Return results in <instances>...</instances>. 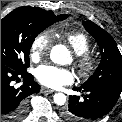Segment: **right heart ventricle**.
Instances as JSON below:
<instances>
[{
	"instance_id": "1",
	"label": "right heart ventricle",
	"mask_w": 122,
	"mask_h": 122,
	"mask_svg": "<svg viewBox=\"0 0 122 122\" xmlns=\"http://www.w3.org/2000/svg\"><path fill=\"white\" fill-rule=\"evenodd\" d=\"M66 38L77 55H82L89 52L91 48V42L87 35H85L84 33H70Z\"/></svg>"
}]
</instances>
